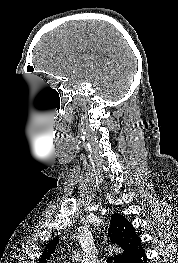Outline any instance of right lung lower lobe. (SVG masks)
Returning <instances> with one entry per match:
<instances>
[{"instance_id": "right-lung-lower-lobe-1", "label": "right lung lower lobe", "mask_w": 178, "mask_h": 263, "mask_svg": "<svg viewBox=\"0 0 178 263\" xmlns=\"http://www.w3.org/2000/svg\"><path fill=\"white\" fill-rule=\"evenodd\" d=\"M129 263H147V257L146 254L144 252V250H142L134 259H132Z\"/></svg>"}]
</instances>
